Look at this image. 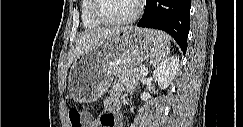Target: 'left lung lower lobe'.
Instances as JSON below:
<instances>
[{"instance_id":"obj_1","label":"left lung lower lobe","mask_w":243,"mask_h":127,"mask_svg":"<svg viewBox=\"0 0 243 127\" xmlns=\"http://www.w3.org/2000/svg\"><path fill=\"white\" fill-rule=\"evenodd\" d=\"M190 7L191 0H147L144 15L137 26L169 33L185 54Z\"/></svg>"}]
</instances>
